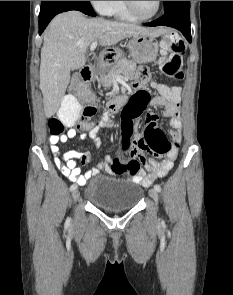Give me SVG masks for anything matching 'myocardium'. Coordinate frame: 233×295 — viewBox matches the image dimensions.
I'll return each instance as SVG.
<instances>
[{"label": "myocardium", "mask_w": 233, "mask_h": 295, "mask_svg": "<svg viewBox=\"0 0 233 295\" xmlns=\"http://www.w3.org/2000/svg\"><path fill=\"white\" fill-rule=\"evenodd\" d=\"M124 2H125L127 10L130 12V14L133 15L136 19L143 20V21L153 19L154 17H156L158 15V13H159V11L161 9V1H157L156 10L152 15H150V16H141L136 11L133 1H124Z\"/></svg>", "instance_id": "f54148a6"}]
</instances>
